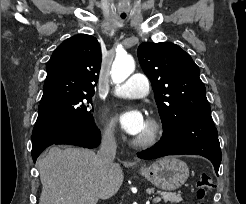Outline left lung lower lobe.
<instances>
[{"instance_id": "obj_1", "label": "left lung lower lobe", "mask_w": 246, "mask_h": 204, "mask_svg": "<svg viewBox=\"0 0 246 204\" xmlns=\"http://www.w3.org/2000/svg\"><path fill=\"white\" fill-rule=\"evenodd\" d=\"M182 154L206 157L218 174L222 156L217 130L210 115L176 121L171 128L164 130L158 144L137 155L141 159H155Z\"/></svg>"}]
</instances>
